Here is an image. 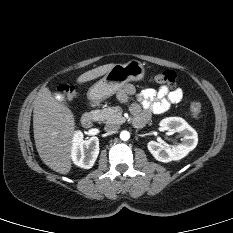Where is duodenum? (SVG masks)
Wrapping results in <instances>:
<instances>
[{"label": "duodenum", "instance_id": "duodenum-1", "mask_svg": "<svg viewBox=\"0 0 233 233\" xmlns=\"http://www.w3.org/2000/svg\"><path fill=\"white\" fill-rule=\"evenodd\" d=\"M97 121V114L94 110H89L82 115L81 123L85 128H90Z\"/></svg>", "mask_w": 233, "mask_h": 233}]
</instances>
